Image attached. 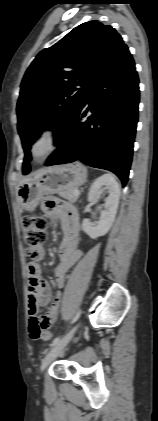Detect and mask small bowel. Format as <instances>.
I'll list each match as a JSON object with an SVG mask.
<instances>
[{
  "label": "small bowel",
  "mask_w": 158,
  "mask_h": 421,
  "mask_svg": "<svg viewBox=\"0 0 158 421\" xmlns=\"http://www.w3.org/2000/svg\"><path fill=\"white\" fill-rule=\"evenodd\" d=\"M42 209L53 221L60 222L63 232V239L59 246V265L54 273L56 284L62 288L65 285L67 271L82 256V251L78 247L79 215L74 207L56 197L45 198ZM44 254L43 247H40L36 257L27 264L29 331L32 337L35 330L50 331L49 329L58 318L62 300L61 293L57 292L51 301V288L43 279L39 265ZM41 307L46 308V313L40 318L38 313Z\"/></svg>",
  "instance_id": "1"
}]
</instances>
